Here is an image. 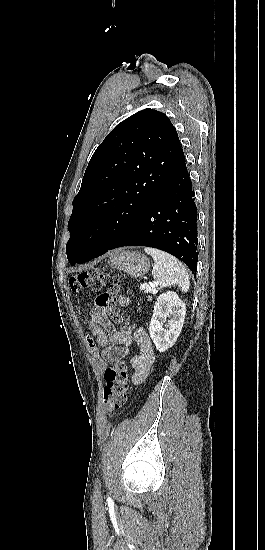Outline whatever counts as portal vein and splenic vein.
<instances>
[{
	"instance_id": "18ae733b",
	"label": "portal vein and splenic vein",
	"mask_w": 265,
	"mask_h": 550,
	"mask_svg": "<svg viewBox=\"0 0 265 550\" xmlns=\"http://www.w3.org/2000/svg\"><path fill=\"white\" fill-rule=\"evenodd\" d=\"M141 289L146 290V291H149V292H151V293H155V292H156L154 289H151L150 285H148V284H143V285L141 286Z\"/></svg>"
}]
</instances>
